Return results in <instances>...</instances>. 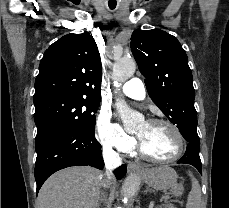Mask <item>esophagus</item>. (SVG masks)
Returning a JSON list of instances; mask_svg holds the SVG:
<instances>
[{
    "instance_id": "34e87169",
    "label": "esophagus",
    "mask_w": 229,
    "mask_h": 208,
    "mask_svg": "<svg viewBox=\"0 0 229 208\" xmlns=\"http://www.w3.org/2000/svg\"><path fill=\"white\" fill-rule=\"evenodd\" d=\"M138 169H140V167L136 164V163H129L127 170L129 173H133L135 171H137Z\"/></svg>"
}]
</instances>
